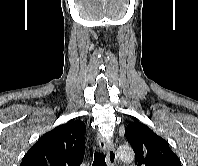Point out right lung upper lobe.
Instances as JSON below:
<instances>
[{
    "mask_svg": "<svg viewBox=\"0 0 198 166\" xmlns=\"http://www.w3.org/2000/svg\"><path fill=\"white\" fill-rule=\"evenodd\" d=\"M81 121H69L45 133L29 149L20 166H80L85 153Z\"/></svg>",
    "mask_w": 198,
    "mask_h": 166,
    "instance_id": "cb5924a9",
    "label": "right lung upper lobe"
}]
</instances>
